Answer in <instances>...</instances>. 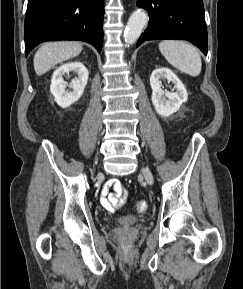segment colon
Wrapping results in <instances>:
<instances>
[{
	"mask_svg": "<svg viewBox=\"0 0 243 289\" xmlns=\"http://www.w3.org/2000/svg\"><path fill=\"white\" fill-rule=\"evenodd\" d=\"M119 208H120L119 206L116 207L117 210H119ZM133 209L137 213H143L147 209V203L145 201H138L134 204Z\"/></svg>",
	"mask_w": 243,
	"mask_h": 289,
	"instance_id": "colon-1",
	"label": "colon"
}]
</instances>
